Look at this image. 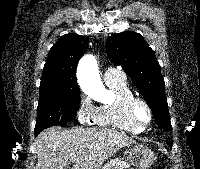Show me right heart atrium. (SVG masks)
Instances as JSON below:
<instances>
[{"mask_svg":"<svg viewBox=\"0 0 200 169\" xmlns=\"http://www.w3.org/2000/svg\"><path fill=\"white\" fill-rule=\"evenodd\" d=\"M95 107L91 101L82 95L78 101L76 108V116L81 124H88L94 119Z\"/></svg>","mask_w":200,"mask_h":169,"instance_id":"right-heart-atrium-1","label":"right heart atrium"}]
</instances>
